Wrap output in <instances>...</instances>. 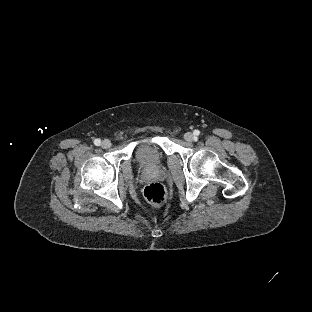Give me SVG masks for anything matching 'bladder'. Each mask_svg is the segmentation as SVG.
Here are the masks:
<instances>
[{
    "mask_svg": "<svg viewBox=\"0 0 312 312\" xmlns=\"http://www.w3.org/2000/svg\"><path fill=\"white\" fill-rule=\"evenodd\" d=\"M158 160L159 158L156 156L152 147L146 146L139 150L138 161L144 166L151 168L156 165Z\"/></svg>",
    "mask_w": 312,
    "mask_h": 312,
    "instance_id": "31cf9c89",
    "label": "bladder"
}]
</instances>
